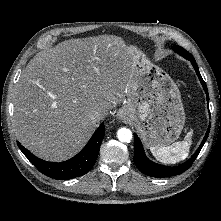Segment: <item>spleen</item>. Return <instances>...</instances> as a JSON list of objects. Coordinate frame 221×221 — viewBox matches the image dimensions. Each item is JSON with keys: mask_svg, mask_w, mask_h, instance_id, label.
I'll use <instances>...</instances> for the list:
<instances>
[{"mask_svg": "<svg viewBox=\"0 0 221 221\" xmlns=\"http://www.w3.org/2000/svg\"><path fill=\"white\" fill-rule=\"evenodd\" d=\"M193 131L190 130L183 141H178L170 146H151L150 151L153 156L164 164H176L188 156L192 143Z\"/></svg>", "mask_w": 221, "mask_h": 221, "instance_id": "1", "label": "spleen"}]
</instances>
